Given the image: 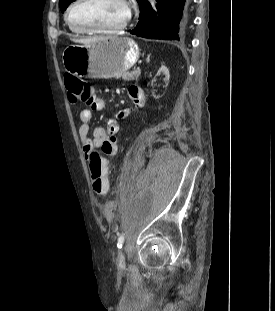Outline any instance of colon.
<instances>
[{"instance_id":"5ec220e1","label":"colon","mask_w":275,"mask_h":311,"mask_svg":"<svg viewBox=\"0 0 275 311\" xmlns=\"http://www.w3.org/2000/svg\"><path fill=\"white\" fill-rule=\"evenodd\" d=\"M64 82L71 104H89L93 101L94 91L89 83L70 74L64 76ZM90 171L94 192L98 195L107 194L110 186L107 161L101 158L97 153H93L91 157Z\"/></svg>"}]
</instances>
